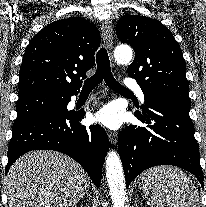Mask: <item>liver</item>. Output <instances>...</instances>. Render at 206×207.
Here are the masks:
<instances>
[{
    "label": "liver",
    "mask_w": 206,
    "mask_h": 207,
    "mask_svg": "<svg viewBox=\"0 0 206 207\" xmlns=\"http://www.w3.org/2000/svg\"><path fill=\"white\" fill-rule=\"evenodd\" d=\"M88 187L89 177L77 162L46 150L21 156L6 180L9 207H75Z\"/></svg>",
    "instance_id": "liver-1"
}]
</instances>
